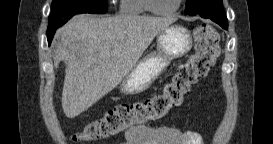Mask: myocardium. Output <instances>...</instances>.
<instances>
[{
  "instance_id": "obj_1",
  "label": "myocardium",
  "mask_w": 273,
  "mask_h": 144,
  "mask_svg": "<svg viewBox=\"0 0 273 144\" xmlns=\"http://www.w3.org/2000/svg\"><path fill=\"white\" fill-rule=\"evenodd\" d=\"M182 2H183V0H177V3L173 8L168 9V10H160L155 6V0H146L145 7H146L147 11L151 12L154 15L166 16V15H171V14H174L175 12H177L178 9L180 8Z\"/></svg>"
}]
</instances>
